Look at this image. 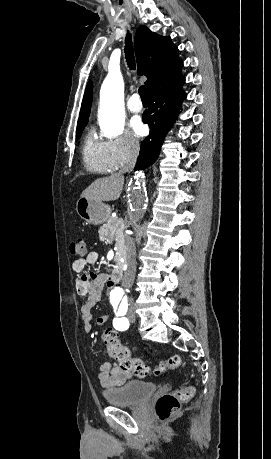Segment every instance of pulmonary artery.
<instances>
[{
    "instance_id": "1",
    "label": "pulmonary artery",
    "mask_w": 271,
    "mask_h": 459,
    "mask_svg": "<svg viewBox=\"0 0 271 459\" xmlns=\"http://www.w3.org/2000/svg\"><path fill=\"white\" fill-rule=\"evenodd\" d=\"M127 108L132 113H140L143 110V104L140 96L136 93L127 102Z\"/></svg>"
}]
</instances>
